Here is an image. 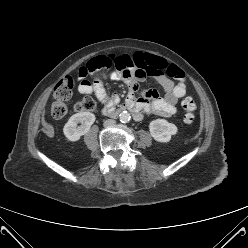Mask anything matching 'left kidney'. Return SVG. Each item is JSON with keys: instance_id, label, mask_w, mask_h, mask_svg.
<instances>
[{"instance_id": "obj_1", "label": "left kidney", "mask_w": 248, "mask_h": 248, "mask_svg": "<svg viewBox=\"0 0 248 248\" xmlns=\"http://www.w3.org/2000/svg\"><path fill=\"white\" fill-rule=\"evenodd\" d=\"M149 130L156 141L166 143L170 141L173 135L177 134L178 128L165 119H156L150 122Z\"/></svg>"}]
</instances>
